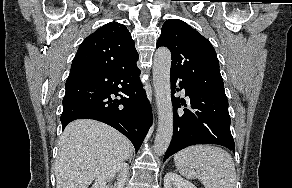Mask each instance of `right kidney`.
Returning a JSON list of instances; mask_svg holds the SVG:
<instances>
[{
  "label": "right kidney",
  "mask_w": 292,
  "mask_h": 188,
  "mask_svg": "<svg viewBox=\"0 0 292 188\" xmlns=\"http://www.w3.org/2000/svg\"><path fill=\"white\" fill-rule=\"evenodd\" d=\"M128 172L129 165L127 163L117 164L100 174L91 188H108V181L113 179L115 176H117V182L113 188H124Z\"/></svg>",
  "instance_id": "ca27d5eb"
}]
</instances>
